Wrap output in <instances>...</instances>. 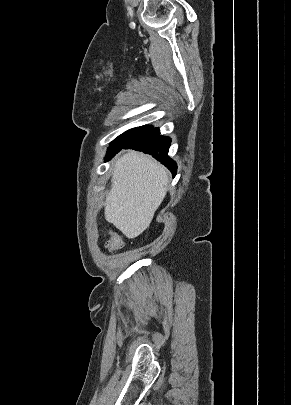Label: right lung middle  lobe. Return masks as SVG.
I'll list each match as a JSON object with an SVG mask.
<instances>
[{
    "mask_svg": "<svg viewBox=\"0 0 291 405\" xmlns=\"http://www.w3.org/2000/svg\"><path fill=\"white\" fill-rule=\"evenodd\" d=\"M152 126H141L130 129L120 136H118L110 145L107 151V158H110L112 155L116 154L117 150L120 149L122 146L128 144L129 142L133 141L134 139L138 138L140 135L144 134L148 130H150Z\"/></svg>",
    "mask_w": 291,
    "mask_h": 405,
    "instance_id": "dd1d6c3e",
    "label": "right lung middle lobe"
}]
</instances>
